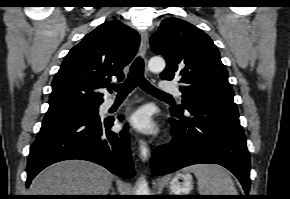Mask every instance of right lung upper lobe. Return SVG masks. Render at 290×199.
Returning a JSON list of instances; mask_svg holds the SVG:
<instances>
[{"label": "right lung upper lobe", "mask_w": 290, "mask_h": 199, "mask_svg": "<svg viewBox=\"0 0 290 199\" xmlns=\"http://www.w3.org/2000/svg\"><path fill=\"white\" fill-rule=\"evenodd\" d=\"M139 42L136 31L116 20L87 34L66 55L55 75L46 115L99 106L101 89L112 77L123 80L122 69L136 54Z\"/></svg>", "instance_id": "1"}]
</instances>
